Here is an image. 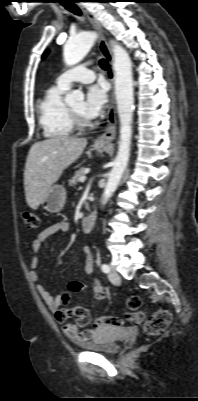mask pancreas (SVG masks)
I'll list each match as a JSON object with an SVG mask.
<instances>
[{
	"label": "pancreas",
	"instance_id": "cf45deb5",
	"mask_svg": "<svg viewBox=\"0 0 198 401\" xmlns=\"http://www.w3.org/2000/svg\"><path fill=\"white\" fill-rule=\"evenodd\" d=\"M84 175H85L84 168H81L78 171H76L73 177L69 180V186H75L80 181V178Z\"/></svg>",
	"mask_w": 198,
	"mask_h": 401
}]
</instances>
